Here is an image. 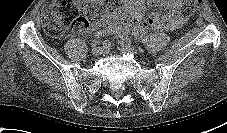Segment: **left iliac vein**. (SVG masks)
<instances>
[{"mask_svg":"<svg viewBox=\"0 0 227 133\" xmlns=\"http://www.w3.org/2000/svg\"><path fill=\"white\" fill-rule=\"evenodd\" d=\"M121 51L123 53H131L136 55L138 53V50L131 44H126L124 42L121 43Z\"/></svg>","mask_w":227,"mask_h":133,"instance_id":"4c4485c4","label":"left iliac vein"}]
</instances>
